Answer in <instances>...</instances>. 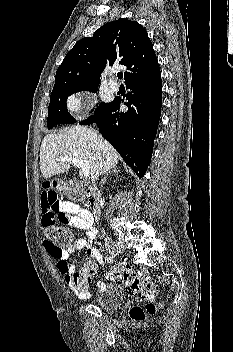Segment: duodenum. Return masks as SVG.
<instances>
[{
  "instance_id": "1",
  "label": "duodenum",
  "mask_w": 233,
  "mask_h": 352,
  "mask_svg": "<svg viewBox=\"0 0 233 352\" xmlns=\"http://www.w3.org/2000/svg\"><path fill=\"white\" fill-rule=\"evenodd\" d=\"M85 195L87 197L88 207L93 215L97 214L99 211V199L100 193L95 186H89L85 190Z\"/></svg>"
}]
</instances>
